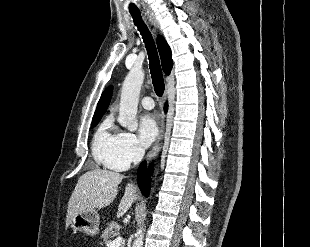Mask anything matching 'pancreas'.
Segmentation results:
<instances>
[{
	"instance_id": "obj_1",
	"label": "pancreas",
	"mask_w": 310,
	"mask_h": 247,
	"mask_svg": "<svg viewBox=\"0 0 310 247\" xmlns=\"http://www.w3.org/2000/svg\"><path fill=\"white\" fill-rule=\"evenodd\" d=\"M119 230H120V225L117 224L116 222H111L108 224V227L105 228V230L103 231L102 235H101V239L103 240L104 244H108L109 238H113L114 236L119 234Z\"/></svg>"
}]
</instances>
